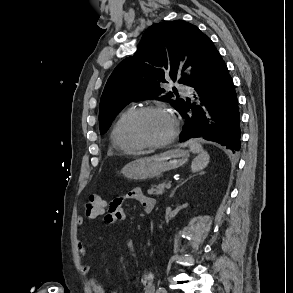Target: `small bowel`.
<instances>
[{
    "mask_svg": "<svg viewBox=\"0 0 293 293\" xmlns=\"http://www.w3.org/2000/svg\"><path fill=\"white\" fill-rule=\"evenodd\" d=\"M126 200L138 201L146 213L152 212L155 207V200L147 196L141 188L136 187L128 191L123 197L113 199L107 205L103 217L106 223L113 224L126 220L127 213L123 206V202ZM78 223L82 225L83 220L79 219ZM77 249L84 259L88 258V253L82 242H78ZM81 269L84 273H88L90 271V265L88 263L83 264ZM154 278L155 276L152 271L147 270L142 272L140 277L142 293H155ZM88 282L94 293H118L116 290L98 283L94 278H89Z\"/></svg>",
    "mask_w": 293,
    "mask_h": 293,
    "instance_id": "1",
    "label": "small bowel"
}]
</instances>
